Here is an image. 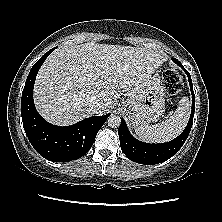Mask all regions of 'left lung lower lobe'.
Instances as JSON below:
<instances>
[{
  "instance_id": "left-lung-lower-lobe-1",
  "label": "left lung lower lobe",
  "mask_w": 222,
  "mask_h": 222,
  "mask_svg": "<svg viewBox=\"0 0 222 222\" xmlns=\"http://www.w3.org/2000/svg\"><path fill=\"white\" fill-rule=\"evenodd\" d=\"M172 60L180 66L188 76L192 94V110L189 122L185 130L176 139L162 144H148L136 140L128 131L124 119H121V125L118 128L120 146L123 153L134 162L144 165H154L168 160L179 151L190 133L195 110V96L192 80L189 72L183 67V65L175 58H172Z\"/></svg>"
}]
</instances>
